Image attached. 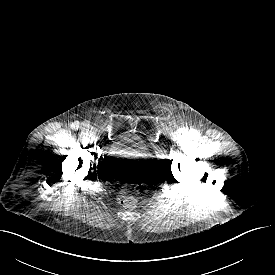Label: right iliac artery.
<instances>
[{
  "instance_id": "1",
  "label": "right iliac artery",
  "mask_w": 275,
  "mask_h": 275,
  "mask_svg": "<svg viewBox=\"0 0 275 275\" xmlns=\"http://www.w3.org/2000/svg\"><path fill=\"white\" fill-rule=\"evenodd\" d=\"M71 128L72 129H78L79 128V123L78 122H74L71 124Z\"/></svg>"
}]
</instances>
